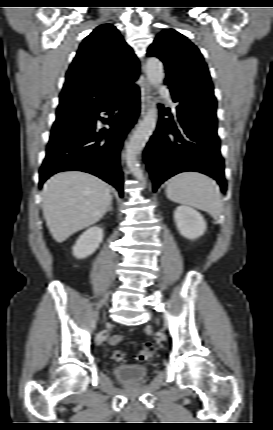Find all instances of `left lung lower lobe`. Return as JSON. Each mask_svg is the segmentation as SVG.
Here are the masks:
<instances>
[{
	"label": "left lung lower lobe",
	"instance_id": "left-lung-lower-lobe-1",
	"mask_svg": "<svg viewBox=\"0 0 273 430\" xmlns=\"http://www.w3.org/2000/svg\"><path fill=\"white\" fill-rule=\"evenodd\" d=\"M178 120L163 118L166 110L160 107V122L150 138L144 159L153 180V191L171 176L184 172L204 173L226 191L224 161L220 153L217 120L198 119L178 110Z\"/></svg>",
	"mask_w": 273,
	"mask_h": 430
}]
</instances>
